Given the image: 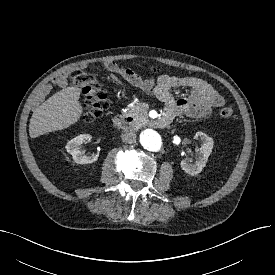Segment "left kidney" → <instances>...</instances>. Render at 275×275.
<instances>
[{"label":"left kidney","mask_w":275,"mask_h":275,"mask_svg":"<svg viewBox=\"0 0 275 275\" xmlns=\"http://www.w3.org/2000/svg\"><path fill=\"white\" fill-rule=\"evenodd\" d=\"M196 136L200 137L202 145L199 152L195 155V162L182 160L180 163L182 170L192 176L199 174L206 166L214 143L213 139L203 132H197Z\"/></svg>","instance_id":"5707ae66"}]
</instances>
